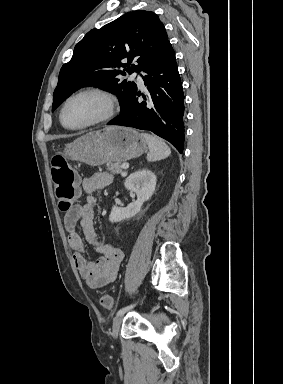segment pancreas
<instances>
[{
	"label": "pancreas",
	"instance_id": "pancreas-1",
	"mask_svg": "<svg viewBox=\"0 0 283 384\" xmlns=\"http://www.w3.org/2000/svg\"><path fill=\"white\" fill-rule=\"evenodd\" d=\"M106 168L112 174H122L121 162H118V164H107Z\"/></svg>",
	"mask_w": 283,
	"mask_h": 384
}]
</instances>
